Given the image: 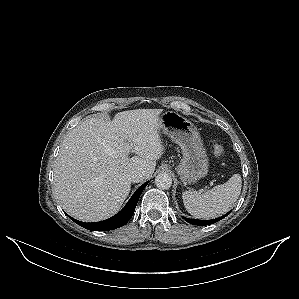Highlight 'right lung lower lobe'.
<instances>
[{"label": "right lung lower lobe", "mask_w": 299, "mask_h": 299, "mask_svg": "<svg viewBox=\"0 0 299 299\" xmlns=\"http://www.w3.org/2000/svg\"><path fill=\"white\" fill-rule=\"evenodd\" d=\"M148 182H145L141 187H139L136 192L133 194L127 205L115 216L104 220L100 222H94V223H86L81 222L76 219H73L70 217L76 224L91 230V231H108L113 230L116 228H119L123 225H125L130 218L132 217L135 207L137 205V202L139 200V197L143 191V189L146 187Z\"/></svg>", "instance_id": "1"}]
</instances>
